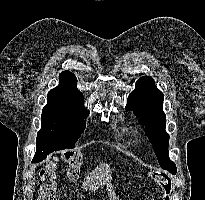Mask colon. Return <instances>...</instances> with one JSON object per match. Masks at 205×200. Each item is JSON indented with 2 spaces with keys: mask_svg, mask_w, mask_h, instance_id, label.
<instances>
[{
  "mask_svg": "<svg viewBox=\"0 0 205 200\" xmlns=\"http://www.w3.org/2000/svg\"><path fill=\"white\" fill-rule=\"evenodd\" d=\"M61 159L67 164V176L70 180H76L82 163V154L77 149H67L61 154ZM58 160L47 161L41 169L39 188V200H56ZM151 178L165 192L164 200H169L171 191L170 179L162 173L151 172Z\"/></svg>",
  "mask_w": 205,
  "mask_h": 200,
  "instance_id": "1",
  "label": "colon"
}]
</instances>
